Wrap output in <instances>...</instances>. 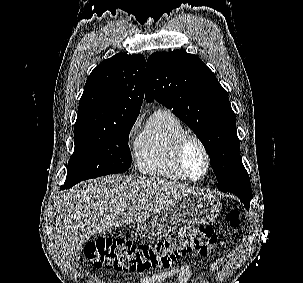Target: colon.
Returning a JSON list of instances; mask_svg holds the SVG:
<instances>
[{"label":"colon","instance_id":"1","mask_svg":"<svg viewBox=\"0 0 303 283\" xmlns=\"http://www.w3.org/2000/svg\"><path fill=\"white\" fill-rule=\"evenodd\" d=\"M225 218L232 228L240 224L239 213L232 207L226 209ZM216 242L217 234L212 227L187 226L168 238L151 243L99 238L86 244L80 260L98 269L143 272L168 267L190 253L207 255Z\"/></svg>","mask_w":303,"mask_h":283}]
</instances>
